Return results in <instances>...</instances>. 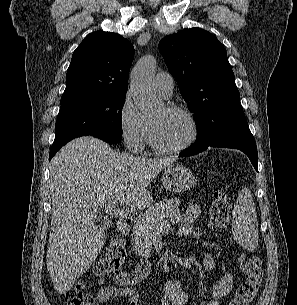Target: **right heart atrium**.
Segmentation results:
<instances>
[{
	"mask_svg": "<svg viewBox=\"0 0 297 305\" xmlns=\"http://www.w3.org/2000/svg\"><path fill=\"white\" fill-rule=\"evenodd\" d=\"M118 127L121 138L131 152L143 149L149 127L146 119L136 108L130 91L122 99L118 112Z\"/></svg>",
	"mask_w": 297,
	"mask_h": 305,
	"instance_id": "obj_1",
	"label": "right heart atrium"
}]
</instances>
